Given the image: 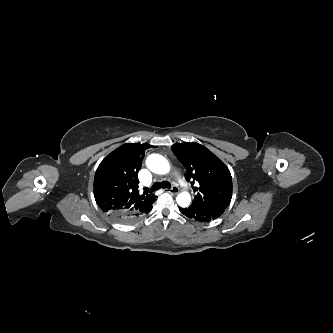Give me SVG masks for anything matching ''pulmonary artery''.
I'll use <instances>...</instances> for the list:
<instances>
[{"label":"pulmonary artery","instance_id":"pulmonary-artery-1","mask_svg":"<svg viewBox=\"0 0 333 333\" xmlns=\"http://www.w3.org/2000/svg\"><path fill=\"white\" fill-rule=\"evenodd\" d=\"M178 180H179V183H180L181 185H184V183H183V181H182L181 179L178 178Z\"/></svg>","mask_w":333,"mask_h":333}]
</instances>
